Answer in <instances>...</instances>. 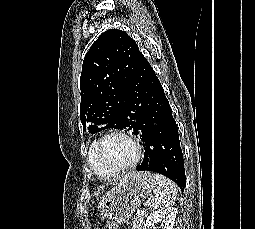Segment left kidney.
<instances>
[{"label": "left kidney", "instance_id": "left-kidney-1", "mask_svg": "<svg viewBox=\"0 0 255 229\" xmlns=\"http://www.w3.org/2000/svg\"><path fill=\"white\" fill-rule=\"evenodd\" d=\"M176 214H177V209L173 207H168L165 209L152 212L147 216L143 229H149V228L152 229L155 226V224L162 219L164 220L161 223V226H160L161 229H173Z\"/></svg>", "mask_w": 255, "mask_h": 229}]
</instances>
